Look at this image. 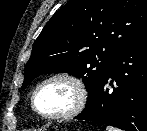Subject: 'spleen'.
Returning a JSON list of instances; mask_svg holds the SVG:
<instances>
[{"label": "spleen", "instance_id": "obj_1", "mask_svg": "<svg viewBox=\"0 0 147 131\" xmlns=\"http://www.w3.org/2000/svg\"><path fill=\"white\" fill-rule=\"evenodd\" d=\"M106 131H119V130H117V129L111 127V126H107Z\"/></svg>", "mask_w": 147, "mask_h": 131}]
</instances>
